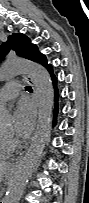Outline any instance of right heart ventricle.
<instances>
[{
    "instance_id": "right-heart-ventricle-1",
    "label": "right heart ventricle",
    "mask_w": 89,
    "mask_h": 203,
    "mask_svg": "<svg viewBox=\"0 0 89 203\" xmlns=\"http://www.w3.org/2000/svg\"><path fill=\"white\" fill-rule=\"evenodd\" d=\"M12 151L13 147L9 140L3 134H0V160L7 159Z\"/></svg>"
}]
</instances>
